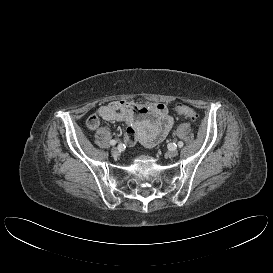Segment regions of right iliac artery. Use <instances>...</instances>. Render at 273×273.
Wrapping results in <instances>:
<instances>
[{"label": "right iliac artery", "instance_id": "82829eb1", "mask_svg": "<svg viewBox=\"0 0 273 273\" xmlns=\"http://www.w3.org/2000/svg\"><path fill=\"white\" fill-rule=\"evenodd\" d=\"M116 143H117L116 140H111V141H110V144H111V145H115Z\"/></svg>", "mask_w": 273, "mask_h": 273}]
</instances>
